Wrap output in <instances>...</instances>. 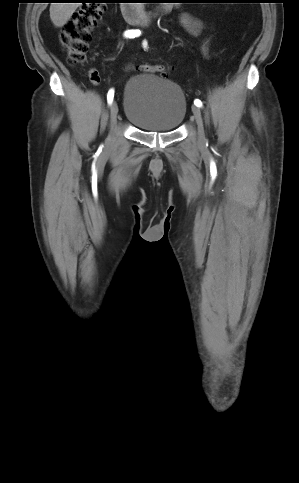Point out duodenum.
<instances>
[{
    "label": "duodenum",
    "instance_id": "duodenum-1",
    "mask_svg": "<svg viewBox=\"0 0 299 483\" xmlns=\"http://www.w3.org/2000/svg\"><path fill=\"white\" fill-rule=\"evenodd\" d=\"M122 3L121 11L125 20L140 26L147 25L153 17L164 15L170 10V7L164 4L157 8V12L148 13L135 0H124Z\"/></svg>",
    "mask_w": 299,
    "mask_h": 483
}]
</instances>
